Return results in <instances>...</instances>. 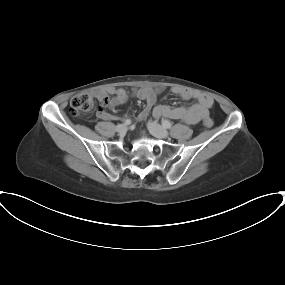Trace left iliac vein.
<instances>
[{
	"label": "left iliac vein",
	"mask_w": 285,
	"mask_h": 285,
	"mask_svg": "<svg viewBox=\"0 0 285 285\" xmlns=\"http://www.w3.org/2000/svg\"><path fill=\"white\" fill-rule=\"evenodd\" d=\"M148 129L152 135H154L157 138L165 139L169 137V133L166 129H164L161 125L154 121H149Z\"/></svg>",
	"instance_id": "1"
}]
</instances>
